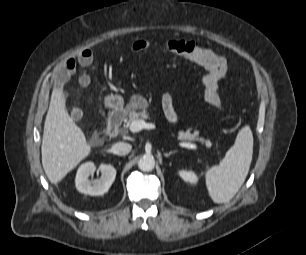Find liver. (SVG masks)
<instances>
[{
    "mask_svg": "<svg viewBox=\"0 0 306 255\" xmlns=\"http://www.w3.org/2000/svg\"><path fill=\"white\" fill-rule=\"evenodd\" d=\"M91 151L83 131L69 116L60 88H54L44 124L42 165L52 184L60 182Z\"/></svg>",
    "mask_w": 306,
    "mask_h": 255,
    "instance_id": "6515ba94",
    "label": "liver"
}]
</instances>
